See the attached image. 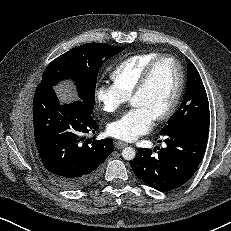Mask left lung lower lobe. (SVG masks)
I'll return each instance as SVG.
<instances>
[{
    "instance_id": "left-lung-lower-lobe-1",
    "label": "left lung lower lobe",
    "mask_w": 231,
    "mask_h": 231,
    "mask_svg": "<svg viewBox=\"0 0 231 231\" xmlns=\"http://www.w3.org/2000/svg\"><path fill=\"white\" fill-rule=\"evenodd\" d=\"M208 132L209 129L185 127L161 133L164 147H157V154L151 149L139 148L132 162L133 172L159 191L182 186L193 176L203 158Z\"/></svg>"
}]
</instances>
